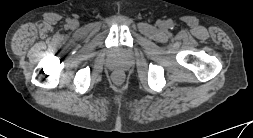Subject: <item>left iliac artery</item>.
<instances>
[{
  "label": "left iliac artery",
  "instance_id": "left-iliac-artery-1",
  "mask_svg": "<svg viewBox=\"0 0 253 138\" xmlns=\"http://www.w3.org/2000/svg\"><path fill=\"white\" fill-rule=\"evenodd\" d=\"M170 27H173V24H172V22L170 23Z\"/></svg>",
  "mask_w": 253,
  "mask_h": 138
}]
</instances>
